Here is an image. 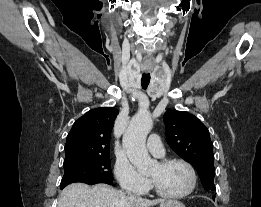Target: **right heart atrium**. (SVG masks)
Here are the masks:
<instances>
[{
    "mask_svg": "<svg viewBox=\"0 0 261 207\" xmlns=\"http://www.w3.org/2000/svg\"><path fill=\"white\" fill-rule=\"evenodd\" d=\"M114 174L122 189L141 194L148 188V181L124 158L115 162Z\"/></svg>",
    "mask_w": 261,
    "mask_h": 207,
    "instance_id": "right-heart-atrium-1",
    "label": "right heart atrium"
}]
</instances>
